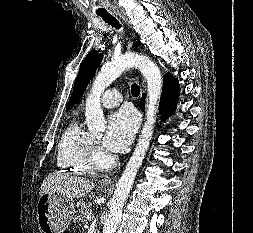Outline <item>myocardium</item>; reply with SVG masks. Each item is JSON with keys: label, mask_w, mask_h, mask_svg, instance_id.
Listing matches in <instances>:
<instances>
[{"label": "myocardium", "mask_w": 253, "mask_h": 233, "mask_svg": "<svg viewBox=\"0 0 253 233\" xmlns=\"http://www.w3.org/2000/svg\"><path fill=\"white\" fill-rule=\"evenodd\" d=\"M87 160L92 169H107L114 165L115 159L108 154L99 144L98 141H93L90 147Z\"/></svg>", "instance_id": "f54148a6"}]
</instances>
